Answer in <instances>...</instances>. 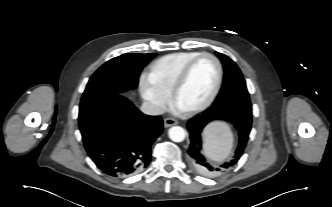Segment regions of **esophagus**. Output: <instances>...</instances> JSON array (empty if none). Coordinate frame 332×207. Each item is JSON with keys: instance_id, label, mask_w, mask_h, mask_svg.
Instances as JSON below:
<instances>
[{"instance_id": "34e87169", "label": "esophagus", "mask_w": 332, "mask_h": 207, "mask_svg": "<svg viewBox=\"0 0 332 207\" xmlns=\"http://www.w3.org/2000/svg\"><path fill=\"white\" fill-rule=\"evenodd\" d=\"M178 124V121L176 119H173V118H166L164 120V126L167 128V127H170V126H173V125H176Z\"/></svg>"}]
</instances>
